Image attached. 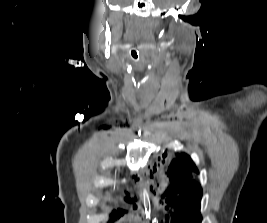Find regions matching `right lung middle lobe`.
<instances>
[{
	"label": "right lung middle lobe",
	"mask_w": 267,
	"mask_h": 223,
	"mask_svg": "<svg viewBox=\"0 0 267 223\" xmlns=\"http://www.w3.org/2000/svg\"><path fill=\"white\" fill-rule=\"evenodd\" d=\"M124 214V211L123 210H118V212H113L112 213V217H120L121 215H123Z\"/></svg>",
	"instance_id": "dd1d6c3e"
}]
</instances>
